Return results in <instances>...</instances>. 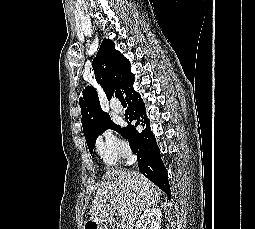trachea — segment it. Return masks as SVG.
I'll return each instance as SVG.
<instances>
[{
  "label": "trachea",
  "mask_w": 255,
  "mask_h": 229,
  "mask_svg": "<svg viewBox=\"0 0 255 229\" xmlns=\"http://www.w3.org/2000/svg\"><path fill=\"white\" fill-rule=\"evenodd\" d=\"M115 96L122 102V101H125V98L123 96V93L122 91L120 90H117L116 93H115Z\"/></svg>",
  "instance_id": "trachea-1"
}]
</instances>
